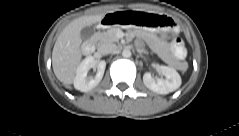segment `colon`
Instances as JSON below:
<instances>
[{"label": "colon", "instance_id": "5ec220e1", "mask_svg": "<svg viewBox=\"0 0 239 136\" xmlns=\"http://www.w3.org/2000/svg\"><path fill=\"white\" fill-rule=\"evenodd\" d=\"M113 17L115 18V16H113ZM177 51H178V52H180V53H182V52L184 53V50H183V48H181V47H180V48H178V50H177Z\"/></svg>", "mask_w": 239, "mask_h": 136}]
</instances>
